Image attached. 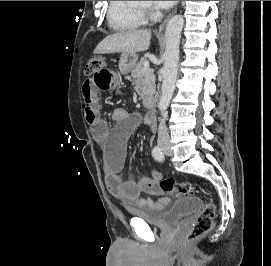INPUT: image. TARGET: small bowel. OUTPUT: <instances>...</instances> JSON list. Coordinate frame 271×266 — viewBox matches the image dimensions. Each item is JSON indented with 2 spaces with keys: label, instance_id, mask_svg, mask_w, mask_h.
Wrapping results in <instances>:
<instances>
[{
  "label": "small bowel",
  "instance_id": "1",
  "mask_svg": "<svg viewBox=\"0 0 271 266\" xmlns=\"http://www.w3.org/2000/svg\"><path fill=\"white\" fill-rule=\"evenodd\" d=\"M119 73L108 64L94 70L83 85L85 100V118L93 139L105 145L104 176L105 184L115 197L125 204L145 211H161L171 202L170 197L161 196L158 181L162 174L151 171V177L139 180H124L121 169L126 158L127 140L137 125V118L129 115L125 109L117 108L112 114L115 127L111 130L100 114L99 91L116 87ZM146 194L147 196H142ZM150 195L160 196L153 199Z\"/></svg>",
  "mask_w": 271,
  "mask_h": 266
}]
</instances>
